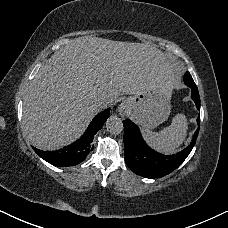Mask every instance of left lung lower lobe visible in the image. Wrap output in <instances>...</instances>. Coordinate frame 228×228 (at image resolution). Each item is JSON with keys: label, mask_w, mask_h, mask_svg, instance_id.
I'll return each instance as SVG.
<instances>
[{"label": "left lung lower lobe", "mask_w": 228, "mask_h": 228, "mask_svg": "<svg viewBox=\"0 0 228 228\" xmlns=\"http://www.w3.org/2000/svg\"><path fill=\"white\" fill-rule=\"evenodd\" d=\"M184 82L191 88V98L200 110L199 92L189 72L185 74ZM197 120L200 126V114ZM123 126L126 164L134 173L146 178H160L174 171L191 152L199 133L198 128L189 147L182 152L167 156L152 150L144 142L139 128L129 119L123 121Z\"/></svg>", "instance_id": "0a47b994"}]
</instances>
